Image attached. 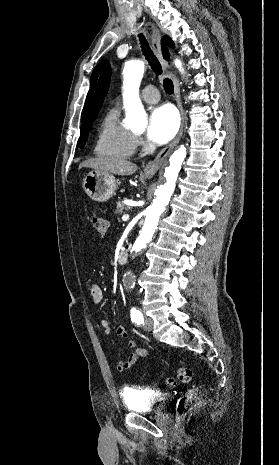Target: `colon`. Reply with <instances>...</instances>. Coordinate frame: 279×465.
<instances>
[{
	"instance_id": "colon-1",
	"label": "colon",
	"mask_w": 279,
	"mask_h": 465,
	"mask_svg": "<svg viewBox=\"0 0 279 465\" xmlns=\"http://www.w3.org/2000/svg\"><path fill=\"white\" fill-rule=\"evenodd\" d=\"M92 225L98 236L104 237L107 233V222L99 214H93L91 217ZM178 379L181 382L187 383L192 379V371L189 368L181 367L177 371ZM177 380L173 377H168L166 379V385L169 387H175ZM199 403V398L196 390L191 389L187 391L177 403V413L179 416L183 417L193 411Z\"/></svg>"
}]
</instances>
